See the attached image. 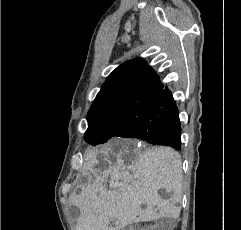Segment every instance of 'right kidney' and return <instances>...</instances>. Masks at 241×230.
Masks as SVG:
<instances>
[{"mask_svg":"<svg viewBox=\"0 0 241 230\" xmlns=\"http://www.w3.org/2000/svg\"><path fill=\"white\" fill-rule=\"evenodd\" d=\"M122 230H132V228H130V229L125 228V229H122Z\"/></svg>","mask_w":241,"mask_h":230,"instance_id":"right-kidney-1","label":"right kidney"}]
</instances>
